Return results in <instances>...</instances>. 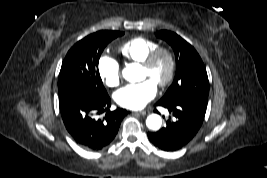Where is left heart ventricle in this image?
<instances>
[{"instance_id": "b2bd125f", "label": "left heart ventricle", "mask_w": 267, "mask_h": 178, "mask_svg": "<svg viewBox=\"0 0 267 178\" xmlns=\"http://www.w3.org/2000/svg\"><path fill=\"white\" fill-rule=\"evenodd\" d=\"M168 71V60L161 55L150 69L141 68V80L150 79L154 83H158L164 79Z\"/></svg>"}]
</instances>
